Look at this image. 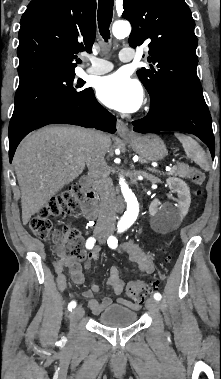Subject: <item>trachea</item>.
<instances>
[{
	"instance_id": "obj_1",
	"label": "trachea",
	"mask_w": 221,
	"mask_h": 379,
	"mask_svg": "<svg viewBox=\"0 0 221 379\" xmlns=\"http://www.w3.org/2000/svg\"><path fill=\"white\" fill-rule=\"evenodd\" d=\"M113 4L114 0H99L97 13L99 32L106 41L110 38L109 27L112 21Z\"/></svg>"
}]
</instances>
